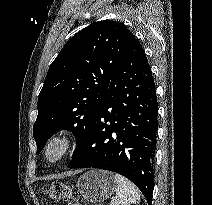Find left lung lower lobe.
<instances>
[{"label": "left lung lower lobe", "mask_w": 212, "mask_h": 205, "mask_svg": "<svg viewBox=\"0 0 212 205\" xmlns=\"http://www.w3.org/2000/svg\"><path fill=\"white\" fill-rule=\"evenodd\" d=\"M156 88L146 54L136 38L117 65L108 95L68 168H100L130 179L149 205L158 130Z\"/></svg>", "instance_id": "obj_1"}]
</instances>
